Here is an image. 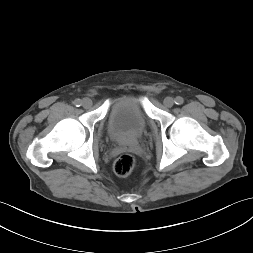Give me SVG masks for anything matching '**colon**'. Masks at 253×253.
Returning <instances> with one entry per match:
<instances>
[{"instance_id": "5ec220e1", "label": "colon", "mask_w": 253, "mask_h": 253, "mask_svg": "<svg viewBox=\"0 0 253 253\" xmlns=\"http://www.w3.org/2000/svg\"><path fill=\"white\" fill-rule=\"evenodd\" d=\"M136 166V159L132 154H122L114 162V172L121 177L130 175Z\"/></svg>"}]
</instances>
